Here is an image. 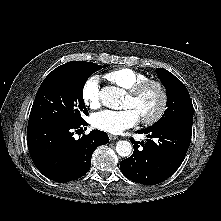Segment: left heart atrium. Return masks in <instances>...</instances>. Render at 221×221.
I'll use <instances>...</instances> for the list:
<instances>
[{
    "instance_id": "left-heart-atrium-1",
    "label": "left heart atrium",
    "mask_w": 221,
    "mask_h": 221,
    "mask_svg": "<svg viewBox=\"0 0 221 221\" xmlns=\"http://www.w3.org/2000/svg\"><path fill=\"white\" fill-rule=\"evenodd\" d=\"M139 120V115L132 108H125L120 111L104 110L94 114L91 119L95 128L111 134H119L131 128Z\"/></svg>"
}]
</instances>
